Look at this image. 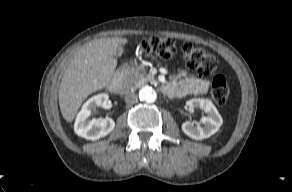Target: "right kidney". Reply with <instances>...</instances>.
I'll use <instances>...</instances> for the list:
<instances>
[{"label": "right kidney", "instance_id": "obj_1", "mask_svg": "<svg viewBox=\"0 0 292 192\" xmlns=\"http://www.w3.org/2000/svg\"><path fill=\"white\" fill-rule=\"evenodd\" d=\"M108 99V94L101 93L91 97L84 103L74 124V130L78 136L87 140H97L108 135L114 129L115 122L111 118L88 119L92 111H95L97 107L106 108Z\"/></svg>", "mask_w": 292, "mask_h": 192}]
</instances>
